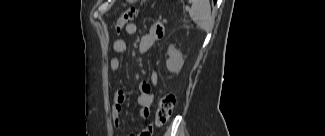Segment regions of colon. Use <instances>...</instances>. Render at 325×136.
I'll list each match as a JSON object with an SVG mask.
<instances>
[{
  "label": "colon",
  "mask_w": 325,
  "mask_h": 136,
  "mask_svg": "<svg viewBox=\"0 0 325 136\" xmlns=\"http://www.w3.org/2000/svg\"><path fill=\"white\" fill-rule=\"evenodd\" d=\"M138 12V7L126 9L117 20L116 30L120 32L126 25L131 24L136 19ZM174 105L175 97L172 94H166L159 100L155 115V124L157 126L169 121L173 114Z\"/></svg>",
  "instance_id": "5ec220e1"
}]
</instances>
